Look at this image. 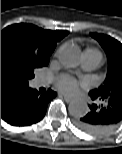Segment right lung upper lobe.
<instances>
[{
	"label": "right lung upper lobe",
	"instance_id": "cb5924a9",
	"mask_svg": "<svg viewBox=\"0 0 122 154\" xmlns=\"http://www.w3.org/2000/svg\"><path fill=\"white\" fill-rule=\"evenodd\" d=\"M2 32L17 33L32 50H34L38 55L48 59L55 49L56 43L68 34V31L44 30L27 23L8 26ZM9 87L11 86L1 82V90Z\"/></svg>",
	"mask_w": 122,
	"mask_h": 154
}]
</instances>
